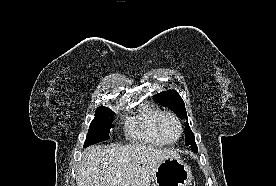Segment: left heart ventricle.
I'll return each instance as SVG.
<instances>
[{"label":"left heart ventricle","mask_w":276,"mask_h":186,"mask_svg":"<svg viewBox=\"0 0 276 186\" xmlns=\"http://www.w3.org/2000/svg\"><path fill=\"white\" fill-rule=\"evenodd\" d=\"M163 130L167 136L168 139L170 140H175L177 139L179 135V129L176 125V123L171 120V119H166L163 123Z\"/></svg>","instance_id":"b2bd125f"}]
</instances>
